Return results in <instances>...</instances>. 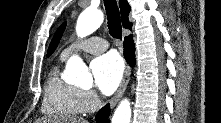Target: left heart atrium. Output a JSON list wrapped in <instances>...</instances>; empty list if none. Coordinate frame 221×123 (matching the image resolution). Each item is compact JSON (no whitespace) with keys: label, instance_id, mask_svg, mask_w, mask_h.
<instances>
[{"label":"left heart atrium","instance_id":"left-heart-atrium-1","mask_svg":"<svg viewBox=\"0 0 221 123\" xmlns=\"http://www.w3.org/2000/svg\"><path fill=\"white\" fill-rule=\"evenodd\" d=\"M96 88L105 95H110L118 87L124 71L119 56L107 53L95 58L90 65Z\"/></svg>","mask_w":221,"mask_h":123}]
</instances>
